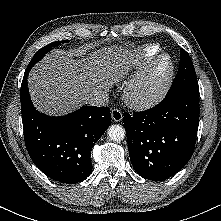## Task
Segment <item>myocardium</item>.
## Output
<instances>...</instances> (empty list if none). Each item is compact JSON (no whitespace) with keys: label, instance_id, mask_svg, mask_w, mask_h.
Here are the masks:
<instances>
[{"label":"myocardium","instance_id":"1","mask_svg":"<svg viewBox=\"0 0 221 221\" xmlns=\"http://www.w3.org/2000/svg\"><path fill=\"white\" fill-rule=\"evenodd\" d=\"M165 59L168 61L169 67L164 80L154 91L145 93L144 88L156 66ZM174 77L175 63L172 57L166 53L158 54L135 78L127 84L125 89V101L134 109H149L164 99L172 85Z\"/></svg>","mask_w":221,"mask_h":221}]
</instances>
